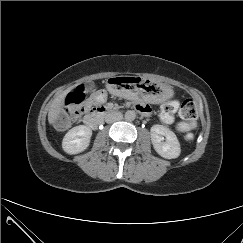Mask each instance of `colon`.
Instances as JSON below:
<instances>
[{
    "label": "colon",
    "mask_w": 243,
    "mask_h": 243,
    "mask_svg": "<svg viewBox=\"0 0 243 243\" xmlns=\"http://www.w3.org/2000/svg\"><path fill=\"white\" fill-rule=\"evenodd\" d=\"M86 89L79 86L72 92L68 93L65 98V109L57 116L55 127L59 130L67 129L72 119L79 117L85 110ZM179 105L176 101L170 100L163 104L161 108V120L165 123H172L174 114ZM179 115L182 121L178 124V129L183 131L184 139L190 141L193 138L191 132L194 122L197 118V107L193 100H185L179 107Z\"/></svg>",
    "instance_id": "1"
}]
</instances>
